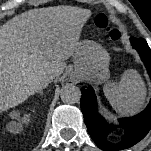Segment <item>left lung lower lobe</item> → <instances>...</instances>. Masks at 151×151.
<instances>
[{
	"instance_id": "left-lung-lower-lobe-1",
	"label": "left lung lower lobe",
	"mask_w": 151,
	"mask_h": 151,
	"mask_svg": "<svg viewBox=\"0 0 151 151\" xmlns=\"http://www.w3.org/2000/svg\"><path fill=\"white\" fill-rule=\"evenodd\" d=\"M130 42L135 48L151 79V49L145 39L132 37ZM80 106L84 116V122L88 132L96 145L105 151H119L128 149L143 139L151 129V100L144 111L136 116L122 118L118 125L110 124L101 115L95 92L91 86L82 87ZM123 130L120 140L111 138V134L117 129Z\"/></svg>"
}]
</instances>
